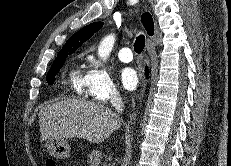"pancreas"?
Returning a JSON list of instances; mask_svg holds the SVG:
<instances>
[{"instance_id":"pancreas-1","label":"pancreas","mask_w":231,"mask_h":166,"mask_svg":"<svg viewBox=\"0 0 231 166\" xmlns=\"http://www.w3.org/2000/svg\"><path fill=\"white\" fill-rule=\"evenodd\" d=\"M102 161V154L98 150H93L89 155H88V166H99Z\"/></svg>"}]
</instances>
